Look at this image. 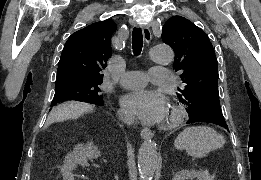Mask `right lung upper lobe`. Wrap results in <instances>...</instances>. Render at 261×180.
Segmentation results:
<instances>
[{
	"mask_svg": "<svg viewBox=\"0 0 261 180\" xmlns=\"http://www.w3.org/2000/svg\"><path fill=\"white\" fill-rule=\"evenodd\" d=\"M116 29L115 22L108 19L73 33L63 48L56 83L103 81L101 72L112 54L111 36Z\"/></svg>",
	"mask_w": 261,
	"mask_h": 180,
	"instance_id": "1",
	"label": "right lung upper lobe"
}]
</instances>
